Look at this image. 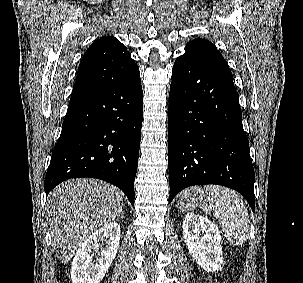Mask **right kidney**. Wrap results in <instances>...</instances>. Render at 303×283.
I'll list each match as a JSON object with an SVG mask.
<instances>
[{
  "instance_id": "ca27d5eb",
  "label": "right kidney",
  "mask_w": 303,
  "mask_h": 283,
  "mask_svg": "<svg viewBox=\"0 0 303 283\" xmlns=\"http://www.w3.org/2000/svg\"><path fill=\"white\" fill-rule=\"evenodd\" d=\"M105 245L97 256L93 251ZM120 243V226L111 222L88 236L78 248L71 269L73 283H100L115 259Z\"/></svg>"
}]
</instances>
